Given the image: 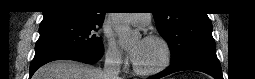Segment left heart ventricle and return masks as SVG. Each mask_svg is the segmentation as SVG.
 Here are the masks:
<instances>
[{"label": "left heart ventricle", "mask_w": 255, "mask_h": 79, "mask_svg": "<svg viewBox=\"0 0 255 79\" xmlns=\"http://www.w3.org/2000/svg\"><path fill=\"white\" fill-rule=\"evenodd\" d=\"M130 27L134 30L138 29V25H131ZM138 45H141V50L134 61L138 67L152 69L160 64L163 58V49L158 42L142 40L137 42L135 47Z\"/></svg>", "instance_id": "obj_1"}]
</instances>
